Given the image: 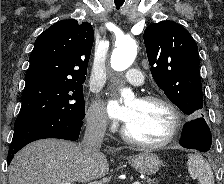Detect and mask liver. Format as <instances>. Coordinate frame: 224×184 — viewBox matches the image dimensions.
Wrapping results in <instances>:
<instances>
[{
	"label": "liver",
	"instance_id": "1",
	"mask_svg": "<svg viewBox=\"0 0 224 184\" xmlns=\"http://www.w3.org/2000/svg\"><path fill=\"white\" fill-rule=\"evenodd\" d=\"M79 145L58 139L27 145L10 164L9 184L85 183L104 177L109 171L104 153L85 156Z\"/></svg>",
	"mask_w": 224,
	"mask_h": 184
}]
</instances>
